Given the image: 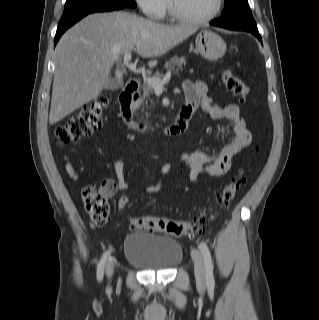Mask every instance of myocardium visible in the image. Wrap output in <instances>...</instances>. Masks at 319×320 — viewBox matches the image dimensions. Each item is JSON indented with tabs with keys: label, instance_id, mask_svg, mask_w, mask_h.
I'll return each mask as SVG.
<instances>
[{
	"label": "myocardium",
	"instance_id": "1",
	"mask_svg": "<svg viewBox=\"0 0 319 320\" xmlns=\"http://www.w3.org/2000/svg\"><path fill=\"white\" fill-rule=\"evenodd\" d=\"M223 3L224 0H217L214 11L210 15L200 18L188 17L181 14L177 9L174 0H169V11L171 17L177 22L188 24H204L214 20L219 15L223 8Z\"/></svg>",
	"mask_w": 319,
	"mask_h": 320
}]
</instances>
